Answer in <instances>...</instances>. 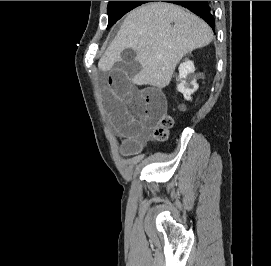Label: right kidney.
Here are the masks:
<instances>
[{
  "mask_svg": "<svg viewBox=\"0 0 271 266\" xmlns=\"http://www.w3.org/2000/svg\"><path fill=\"white\" fill-rule=\"evenodd\" d=\"M179 80L178 91L183 93L186 100H191V94L198 89V84L193 76L195 71L194 63L192 61H185L179 66Z\"/></svg>",
  "mask_w": 271,
  "mask_h": 266,
  "instance_id": "right-kidney-1",
  "label": "right kidney"
}]
</instances>
